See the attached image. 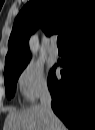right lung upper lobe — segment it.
I'll list each match as a JSON object with an SVG mask.
<instances>
[{"label":"right lung upper lobe","mask_w":95,"mask_h":130,"mask_svg":"<svg viewBox=\"0 0 95 130\" xmlns=\"http://www.w3.org/2000/svg\"><path fill=\"white\" fill-rule=\"evenodd\" d=\"M38 27H42L47 35L59 33L65 44L95 28V0L28 2L14 21L5 70L28 64V40Z\"/></svg>","instance_id":"1"}]
</instances>
